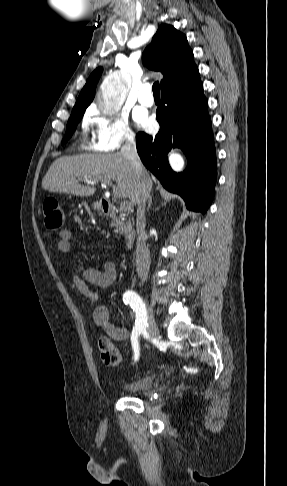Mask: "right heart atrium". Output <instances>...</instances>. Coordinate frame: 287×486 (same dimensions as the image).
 Listing matches in <instances>:
<instances>
[{"label": "right heart atrium", "instance_id": "right-heart-atrium-1", "mask_svg": "<svg viewBox=\"0 0 287 486\" xmlns=\"http://www.w3.org/2000/svg\"><path fill=\"white\" fill-rule=\"evenodd\" d=\"M82 125L91 135L86 147L92 151L113 152L134 142V133L123 114H106L92 107L85 113Z\"/></svg>", "mask_w": 287, "mask_h": 486}]
</instances>
